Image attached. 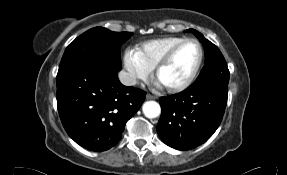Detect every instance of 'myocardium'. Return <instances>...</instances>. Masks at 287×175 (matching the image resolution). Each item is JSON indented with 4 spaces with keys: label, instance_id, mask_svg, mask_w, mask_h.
<instances>
[{
    "label": "myocardium",
    "instance_id": "obj_1",
    "mask_svg": "<svg viewBox=\"0 0 287 175\" xmlns=\"http://www.w3.org/2000/svg\"><path fill=\"white\" fill-rule=\"evenodd\" d=\"M196 43L198 48H199V59L198 62L194 68V70L192 71V73L190 74V76L183 81L180 84L177 85H164L160 82V74L161 71L169 65V63L173 60L174 56L176 55V53L187 43ZM203 60H204V49L202 44L195 38H188V39H184L183 41H181L180 43L176 44L175 46H173L167 53L166 55L160 60V62L157 64V66L155 67V76L156 79L162 84V86L164 87L165 90H167L170 93H179L182 92L184 90H186L188 87H190L193 82L195 81V79L197 78L200 69L202 67L203 64Z\"/></svg>",
    "mask_w": 287,
    "mask_h": 175
}]
</instances>
